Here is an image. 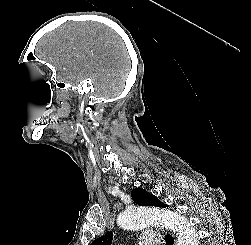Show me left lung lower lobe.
I'll use <instances>...</instances> for the list:
<instances>
[{"instance_id": "left-lung-lower-lobe-1", "label": "left lung lower lobe", "mask_w": 251, "mask_h": 245, "mask_svg": "<svg viewBox=\"0 0 251 245\" xmlns=\"http://www.w3.org/2000/svg\"><path fill=\"white\" fill-rule=\"evenodd\" d=\"M165 240L167 245H173V237L171 235L167 234Z\"/></svg>"}]
</instances>
